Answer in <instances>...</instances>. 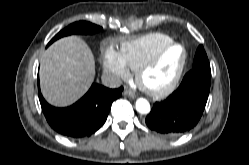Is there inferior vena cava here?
<instances>
[{
	"instance_id": "obj_1",
	"label": "inferior vena cava",
	"mask_w": 249,
	"mask_h": 165,
	"mask_svg": "<svg viewBox=\"0 0 249 165\" xmlns=\"http://www.w3.org/2000/svg\"><path fill=\"white\" fill-rule=\"evenodd\" d=\"M101 79L102 84L109 88H118L122 84L121 79L113 74H104Z\"/></svg>"
}]
</instances>
